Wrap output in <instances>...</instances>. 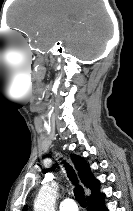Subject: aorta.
I'll use <instances>...</instances> for the list:
<instances>
[{
	"label": "aorta",
	"instance_id": "1",
	"mask_svg": "<svg viewBox=\"0 0 133 211\" xmlns=\"http://www.w3.org/2000/svg\"><path fill=\"white\" fill-rule=\"evenodd\" d=\"M57 191L56 183L43 185L34 201V211H55Z\"/></svg>",
	"mask_w": 133,
	"mask_h": 211
}]
</instances>
